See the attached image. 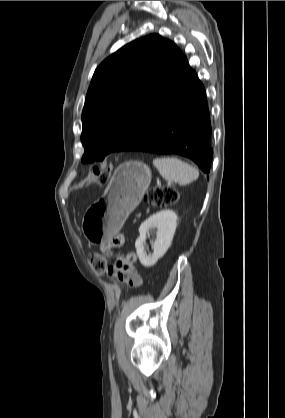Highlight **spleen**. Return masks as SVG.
<instances>
[{
	"label": "spleen",
	"mask_w": 285,
	"mask_h": 418,
	"mask_svg": "<svg viewBox=\"0 0 285 418\" xmlns=\"http://www.w3.org/2000/svg\"><path fill=\"white\" fill-rule=\"evenodd\" d=\"M153 165L164 179L180 185H187L199 177L195 167L175 157L155 158Z\"/></svg>",
	"instance_id": "obj_1"
}]
</instances>
